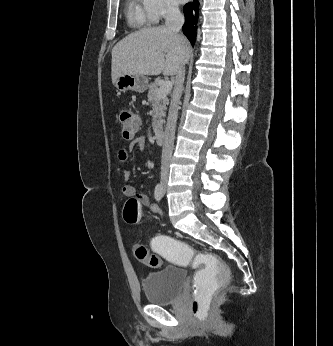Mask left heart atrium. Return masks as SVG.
Masks as SVG:
<instances>
[{"mask_svg":"<svg viewBox=\"0 0 333 346\" xmlns=\"http://www.w3.org/2000/svg\"><path fill=\"white\" fill-rule=\"evenodd\" d=\"M176 2H178V3H183V2H185L186 0H175Z\"/></svg>","mask_w":333,"mask_h":346,"instance_id":"39dd6f15","label":"left heart atrium"}]
</instances>
